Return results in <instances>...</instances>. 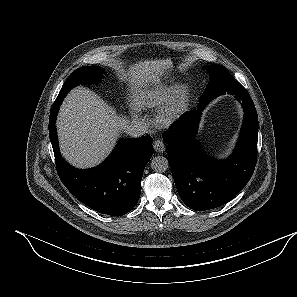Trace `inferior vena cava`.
<instances>
[{
	"label": "inferior vena cava",
	"mask_w": 297,
	"mask_h": 297,
	"mask_svg": "<svg viewBox=\"0 0 297 297\" xmlns=\"http://www.w3.org/2000/svg\"><path fill=\"white\" fill-rule=\"evenodd\" d=\"M125 132L131 137H140L146 132V124L139 120H132L125 126Z\"/></svg>",
	"instance_id": "inferior-vena-cava-1"
}]
</instances>
